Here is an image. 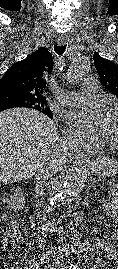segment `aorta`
<instances>
[{
	"label": "aorta",
	"mask_w": 118,
	"mask_h": 269,
	"mask_svg": "<svg viewBox=\"0 0 118 269\" xmlns=\"http://www.w3.org/2000/svg\"><path fill=\"white\" fill-rule=\"evenodd\" d=\"M90 70V61L85 56H78L71 64L67 78L70 83L76 84L79 81H81ZM86 173L81 168H76L72 171H70L63 183L62 188L60 191L56 193L54 198L50 201V205L48 206V210L50 211V206H53L56 204L58 200L63 199L66 195L72 194L75 191L80 190L83 187L84 181H85Z\"/></svg>",
	"instance_id": "1"
}]
</instances>
